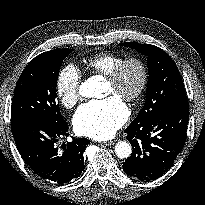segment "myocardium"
Listing matches in <instances>:
<instances>
[{"label": "myocardium", "mask_w": 205, "mask_h": 205, "mask_svg": "<svg viewBox=\"0 0 205 205\" xmlns=\"http://www.w3.org/2000/svg\"><path fill=\"white\" fill-rule=\"evenodd\" d=\"M129 65H136L140 72V80L137 88L132 93L124 94L120 98L126 102H136L138 101L146 91L149 71L146 62L136 56L124 58L114 70L106 76L108 83L112 86L114 90H117L122 79L126 68Z\"/></svg>", "instance_id": "f54148a6"}]
</instances>
